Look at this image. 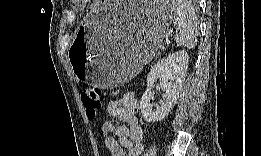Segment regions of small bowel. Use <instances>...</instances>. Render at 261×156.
<instances>
[{"label":"small bowel","mask_w":261,"mask_h":156,"mask_svg":"<svg viewBox=\"0 0 261 156\" xmlns=\"http://www.w3.org/2000/svg\"><path fill=\"white\" fill-rule=\"evenodd\" d=\"M138 110V101L131 92L109 102L108 114L125 123L115 126L107 121L101 126L104 144L112 156H140L143 154V131L137 118Z\"/></svg>","instance_id":"obj_1"}]
</instances>
